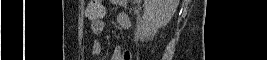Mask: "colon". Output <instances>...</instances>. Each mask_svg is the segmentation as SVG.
Returning <instances> with one entry per match:
<instances>
[{
	"label": "colon",
	"instance_id": "1",
	"mask_svg": "<svg viewBox=\"0 0 267 60\" xmlns=\"http://www.w3.org/2000/svg\"><path fill=\"white\" fill-rule=\"evenodd\" d=\"M89 15L91 19H96L103 13L104 1L103 0H90Z\"/></svg>",
	"mask_w": 267,
	"mask_h": 60
}]
</instances>
